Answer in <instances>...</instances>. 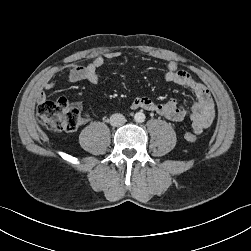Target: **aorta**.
I'll return each instance as SVG.
<instances>
[{"mask_svg": "<svg viewBox=\"0 0 251 251\" xmlns=\"http://www.w3.org/2000/svg\"><path fill=\"white\" fill-rule=\"evenodd\" d=\"M134 120L138 123H142L145 121V114L142 113V112H137L135 115H134Z\"/></svg>", "mask_w": 251, "mask_h": 251, "instance_id": "obj_1", "label": "aorta"}]
</instances>
